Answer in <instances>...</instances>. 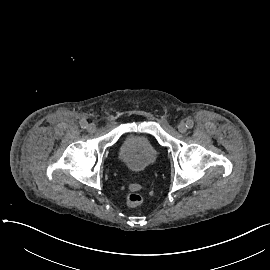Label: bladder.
Here are the masks:
<instances>
[{
    "label": "bladder",
    "mask_w": 270,
    "mask_h": 270,
    "mask_svg": "<svg viewBox=\"0 0 270 270\" xmlns=\"http://www.w3.org/2000/svg\"><path fill=\"white\" fill-rule=\"evenodd\" d=\"M156 153L153 138L150 135H133L122 143L119 160L130 173L138 174L147 169L152 163V156Z\"/></svg>",
    "instance_id": "31cf9c89"
}]
</instances>
